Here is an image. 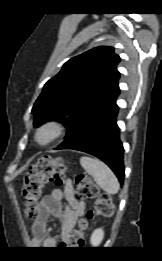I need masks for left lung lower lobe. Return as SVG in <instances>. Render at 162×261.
I'll list each match as a JSON object with an SVG mask.
<instances>
[{
    "label": "left lung lower lobe",
    "mask_w": 162,
    "mask_h": 261,
    "mask_svg": "<svg viewBox=\"0 0 162 261\" xmlns=\"http://www.w3.org/2000/svg\"><path fill=\"white\" fill-rule=\"evenodd\" d=\"M117 96L75 129L56 149H73L94 155L112 169L122 184L124 148L116 123Z\"/></svg>",
    "instance_id": "obj_1"
}]
</instances>
